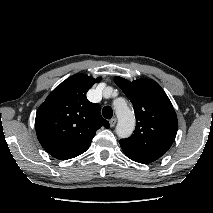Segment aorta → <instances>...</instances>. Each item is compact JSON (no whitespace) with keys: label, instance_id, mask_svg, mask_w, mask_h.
Masks as SVG:
<instances>
[{"label":"aorta","instance_id":"1","mask_svg":"<svg viewBox=\"0 0 213 213\" xmlns=\"http://www.w3.org/2000/svg\"><path fill=\"white\" fill-rule=\"evenodd\" d=\"M118 123L116 126V134L120 138H128L135 128L134 112L127 106L124 100L119 99L114 102Z\"/></svg>","mask_w":213,"mask_h":213}]
</instances>
